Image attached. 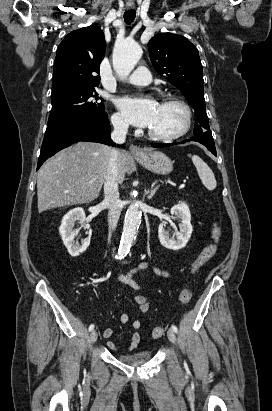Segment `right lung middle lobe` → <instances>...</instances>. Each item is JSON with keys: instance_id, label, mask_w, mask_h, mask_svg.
<instances>
[{"instance_id": "right-lung-middle-lobe-1", "label": "right lung middle lobe", "mask_w": 272, "mask_h": 411, "mask_svg": "<svg viewBox=\"0 0 272 411\" xmlns=\"http://www.w3.org/2000/svg\"><path fill=\"white\" fill-rule=\"evenodd\" d=\"M52 110L47 126L78 115H106L105 107L95 87L69 90L51 97Z\"/></svg>"}]
</instances>
